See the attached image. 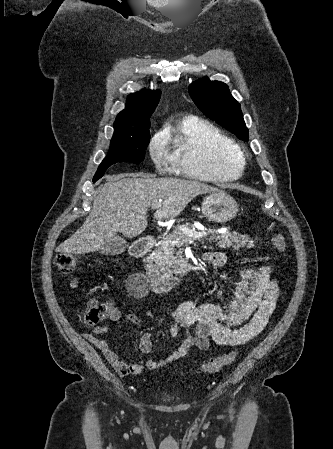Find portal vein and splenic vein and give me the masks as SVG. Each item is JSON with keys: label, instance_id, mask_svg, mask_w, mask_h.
<instances>
[{"label": "portal vein and splenic vein", "instance_id": "portal-vein-and-splenic-vein-1", "mask_svg": "<svg viewBox=\"0 0 333 449\" xmlns=\"http://www.w3.org/2000/svg\"><path fill=\"white\" fill-rule=\"evenodd\" d=\"M162 205V200H159L158 202H154L152 203L151 207L153 209H157L159 207H161ZM184 234H186L187 236H189L192 239H199V238H203L205 236H207L206 232H200V231H195V230H190L184 226H179L178 227Z\"/></svg>", "mask_w": 333, "mask_h": 449}]
</instances>
